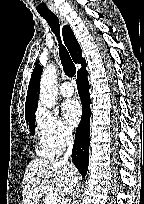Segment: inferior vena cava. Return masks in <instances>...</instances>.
I'll list each match as a JSON object with an SVG mask.
<instances>
[{"label":"inferior vena cava","instance_id":"602c4592","mask_svg":"<svg viewBox=\"0 0 144 204\" xmlns=\"http://www.w3.org/2000/svg\"><path fill=\"white\" fill-rule=\"evenodd\" d=\"M65 139H66V144H67V151H66L65 156H64V161H67L68 157L71 156L72 149H73V136H72V133L67 132Z\"/></svg>","mask_w":144,"mask_h":204}]
</instances>
